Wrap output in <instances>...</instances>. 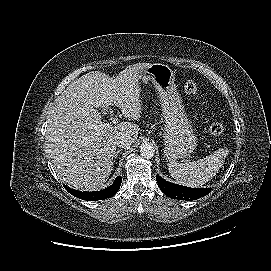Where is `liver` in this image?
Masks as SVG:
<instances>
[{"label":"liver","instance_id":"obj_1","mask_svg":"<svg viewBox=\"0 0 271 271\" xmlns=\"http://www.w3.org/2000/svg\"><path fill=\"white\" fill-rule=\"evenodd\" d=\"M150 63L126 67L116 78L93 71L70 83L56 98L47 127V149L57 174L77 189L95 190L108 180L115 155L116 136L125 133L132 142L138 138L139 126L122 122L95 132L102 116L95 108L117 106L124 117L141 116L140 82Z\"/></svg>","mask_w":271,"mask_h":271}]
</instances>
